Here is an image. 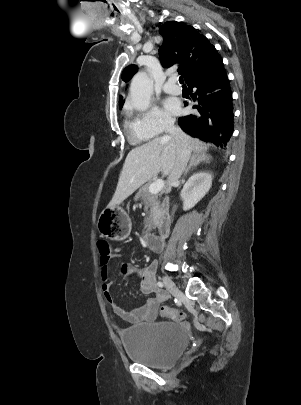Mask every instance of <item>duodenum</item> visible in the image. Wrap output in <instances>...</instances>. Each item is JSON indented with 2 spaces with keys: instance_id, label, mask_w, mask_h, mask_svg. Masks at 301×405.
I'll list each match as a JSON object with an SVG mask.
<instances>
[{
  "instance_id": "1",
  "label": "duodenum",
  "mask_w": 301,
  "mask_h": 405,
  "mask_svg": "<svg viewBox=\"0 0 301 405\" xmlns=\"http://www.w3.org/2000/svg\"><path fill=\"white\" fill-rule=\"evenodd\" d=\"M168 208V202L163 203L164 211ZM170 226V221L168 217L164 214L159 222V234H146L144 236V241L149 249L154 252H160L164 248V237L166 236Z\"/></svg>"
}]
</instances>
